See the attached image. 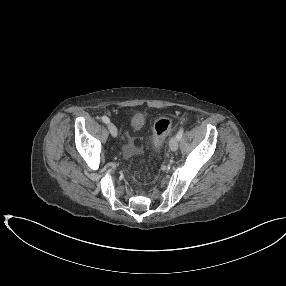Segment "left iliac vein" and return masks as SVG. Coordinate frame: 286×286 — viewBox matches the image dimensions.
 Wrapping results in <instances>:
<instances>
[{"label":"left iliac vein","mask_w":286,"mask_h":286,"mask_svg":"<svg viewBox=\"0 0 286 286\" xmlns=\"http://www.w3.org/2000/svg\"><path fill=\"white\" fill-rule=\"evenodd\" d=\"M178 139L177 137H172L169 141V147L172 151H176L178 149Z\"/></svg>","instance_id":"4c4485c4"}]
</instances>
